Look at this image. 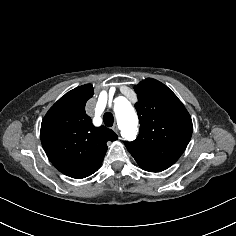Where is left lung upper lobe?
I'll return each instance as SVG.
<instances>
[{
  "label": "left lung upper lobe",
  "mask_w": 236,
  "mask_h": 236,
  "mask_svg": "<svg viewBox=\"0 0 236 236\" xmlns=\"http://www.w3.org/2000/svg\"><path fill=\"white\" fill-rule=\"evenodd\" d=\"M134 89L140 131L135 141L124 143L143 170L160 172L183 154L192 136V120L177 96L158 80L147 78Z\"/></svg>",
  "instance_id": "left-lung-upper-lobe-1"
}]
</instances>
